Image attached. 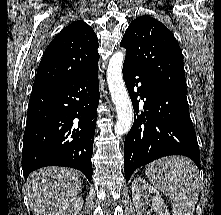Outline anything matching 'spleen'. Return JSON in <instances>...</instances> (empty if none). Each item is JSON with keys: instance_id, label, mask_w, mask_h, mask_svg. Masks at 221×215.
<instances>
[{"instance_id": "3e777b00", "label": "spleen", "mask_w": 221, "mask_h": 215, "mask_svg": "<svg viewBox=\"0 0 221 215\" xmlns=\"http://www.w3.org/2000/svg\"><path fill=\"white\" fill-rule=\"evenodd\" d=\"M145 174L154 187L171 201L173 215H192L200 190L197 166L183 156L161 158L146 167Z\"/></svg>"}]
</instances>
